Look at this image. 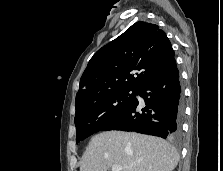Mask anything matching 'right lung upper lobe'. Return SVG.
<instances>
[{
    "label": "right lung upper lobe",
    "instance_id": "right-lung-upper-lobe-1",
    "mask_svg": "<svg viewBox=\"0 0 223 171\" xmlns=\"http://www.w3.org/2000/svg\"><path fill=\"white\" fill-rule=\"evenodd\" d=\"M174 60L164 31L138 21L90 59L80 79L76 109L115 92L137 91Z\"/></svg>",
    "mask_w": 223,
    "mask_h": 171
}]
</instances>
